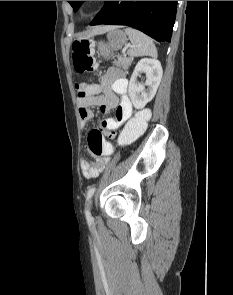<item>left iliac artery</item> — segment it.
<instances>
[{"label": "left iliac artery", "instance_id": "1", "mask_svg": "<svg viewBox=\"0 0 233 295\" xmlns=\"http://www.w3.org/2000/svg\"><path fill=\"white\" fill-rule=\"evenodd\" d=\"M95 187H91V188H89L88 189V192H87V196H86V208H85V214H86V218L88 219V220H91L92 219V217H91V214H90V212H89V210H88V208H87V201L92 197V195L94 194V192H95Z\"/></svg>", "mask_w": 233, "mask_h": 295}]
</instances>
